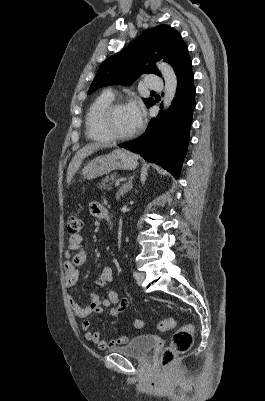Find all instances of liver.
<instances>
[{
  "label": "liver",
  "instance_id": "6515ba94",
  "mask_svg": "<svg viewBox=\"0 0 265 401\" xmlns=\"http://www.w3.org/2000/svg\"><path fill=\"white\" fill-rule=\"evenodd\" d=\"M104 146H113V144H108V142H89L86 146H82L80 150H77L74 158H72L68 170H67V182H71L75 172L79 170L83 158L92 154V152H97L98 148H104Z\"/></svg>",
  "mask_w": 265,
  "mask_h": 401
}]
</instances>
